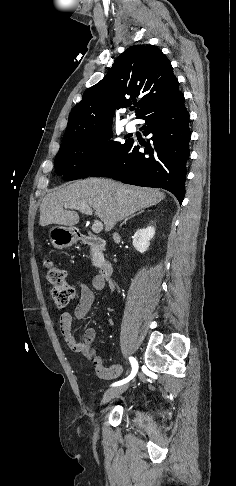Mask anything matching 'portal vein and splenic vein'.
<instances>
[{
    "instance_id": "1",
    "label": "portal vein and splenic vein",
    "mask_w": 236,
    "mask_h": 486,
    "mask_svg": "<svg viewBox=\"0 0 236 486\" xmlns=\"http://www.w3.org/2000/svg\"><path fill=\"white\" fill-rule=\"evenodd\" d=\"M66 208H71L69 206H65ZM72 209V208H71ZM80 212L86 214V215H92L93 211L91 208H77ZM103 229V223L101 221L95 220L93 225H92V231L94 233H99Z\"/></svg>"
}]
</instances>
